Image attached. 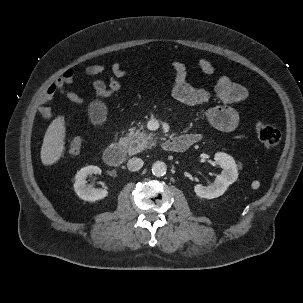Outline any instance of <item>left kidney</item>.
<instances>
[{
  "label": "left kidney",
  "instance_id": "left-kidney-1",
  "mask_svg": "<svg viewBox=\"0 0 303 303\" xmlns=\"http://www.w3.org/2000/svg\"><path fill=\"white\" fill-rule=\"evenodd\" d=\"M214 160L220 164L222 171L217 175L215 182L207 187L197 184L194 187L195 193L201 198L213 199L221 196L227 190L229 185L238 178L237 165L232 156L217 152Z\"/></svg>",
  "mask_w": 303,
  "mask_h": 303
}]
</instances>
